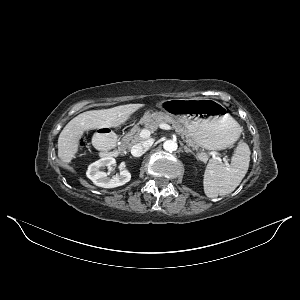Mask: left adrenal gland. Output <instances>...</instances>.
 Instances as JSON below:
<instances>
[{
    "mask_svg": "<svg viewBox=\"0 0 300 300\" xmlns=\"http://www.w3.org/2000/svg\"><path fill=\"white\" fill-rule=\"evenodd\" d=\"M183 148L186 153H191L196 157V159H199L198 156L188 146L184 145Z\"/></svg>",
    "mask_w": 300,
    "mask_h": 300,
    "instance_id": "obj_1",
    "label": "left adrenal gland"
}]
</instances>
